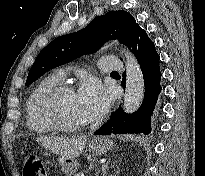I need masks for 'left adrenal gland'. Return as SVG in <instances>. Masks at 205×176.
<instances>
[{
  "label": "left adrenal gland",
  "mask_w": 205,
  "mask_h": 176,
  "mask_svg": "<svg viewBox=\"0 0 205 176\" xmlns=\"http://www.w3.org/2000/svg\"><path fill=\"white\" fill-rule=\"evenodd\" d=\"M109 163H110V159L107 161L106 164L103 165V167H102V176H106L107 175V170L109 168L108 167Z\"/></svg>",
  "instance_id": "1"
}]
</instances>
